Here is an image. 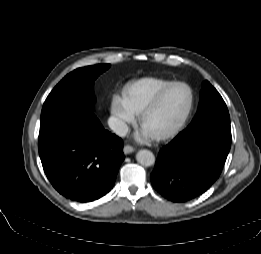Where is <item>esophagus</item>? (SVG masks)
<instances>
[{"label": "esophagus", "instance_id": "1", "mask_svg": "<svg viewBox=\"0 0 261 254\" xmlns=\"http://www.w3.org/2000/svg\"><path fill=\"white\" fill-rule=\"evenodd\" d=\"M123 152L125 154L132 153V152H134V148L130 145H125L124 148H123Z\"/></svg>", "mask_w": 261, "mask_h": 254}]
</instances>
